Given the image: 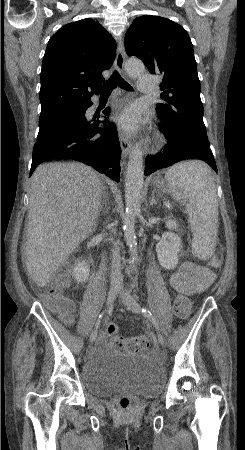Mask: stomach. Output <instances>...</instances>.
Returning a JSON list of instances; mask_svg holds the SVG:
<instances>
[{"mask_svg": "<svg viewBox=\"0 0 245 450\" xmlns=\"http://www.w3.org/2000/svg\"><path fill=\"white\" fill-rule=\"evenodd\" d=\"M153 183H154V186L158 190H160V191H162L164 193L165 192H170V187H169V184H168V182L166 180L157 177L156 179H154Z\"/></svg>", "mask_w": 245, "mask_h": 450, "instance_id": "obj_1", "label": "stomach"}]
</instances>
